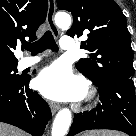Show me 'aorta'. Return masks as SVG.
Masks as SVG:
<instances>
[{
  "instance_id": "762f6f07",
  "label": "aorta",
  "mask_w": 136,
  "mask_h": 136,
  "mask_svg": "<svg viewBox=\"0 0 136 136\" xmlns=\"http://www.w3.org/2000/svg\"><path fill=\"white\" fill-rule=\"evenodd\" d=\"M55 23L62 29H67L71 25V17L65 12H58L55 15ZM72 115L69 109L65 108L59 111L53 122L51 136H65L70 124Z\"/></svg>"
}]
</instances>
